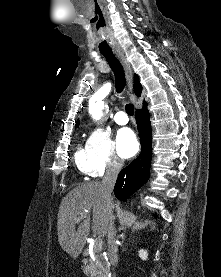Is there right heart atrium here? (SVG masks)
I'll return each instance as SVG.
<instances>
[{"label":"right heart atrium","instance_id":"right-heart-atrium-1","mask_svg":"<svg viewBox=\"0 0 221 277\" xmlns=\"http://www.w3.org/2000/svg\"><path fill=\"white\" fill-rule=\"evenodd\" d=\"M87 154L92 175L118 171L122 162L117 156L114 144L107 132L94 129L87 140Z\"/></svg>","mask_w":221,"mask_h":277}]
</instances>
